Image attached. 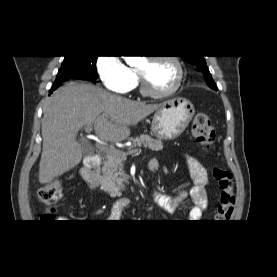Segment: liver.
<instances>
[{
	"label": "liver",
	"instance_id": "1",
	"mask_svg": "<svg viewBox=\"0 0 277 277\" xmlns=\"http://www.w3.org/2000/svg\"><path fill=\"white\" fill-rule=\"evenodd\" d=\"M160 106L115 96L92 84L71 82L60 87L43 110L39 182L49 183L81 162L76 135L82 127L91 126L102 141L121 142L130 136V126Z\"/></svg>",
	"mask_w": 277,
	"mask_h": 277
}]
</instances>
